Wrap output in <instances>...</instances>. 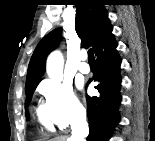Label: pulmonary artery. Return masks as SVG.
<instances>
[{
    "mask_svg": "<svg viewBox=\"0 0 155 141\" xmlns=\"http://www.w3.org/2000/svg\"><path fill=\"white\" fill-rule=\"evenodd\" d=\"M87 58V54L86 52H83L81 55H80V59L83 61L82 63H80V65L78 66V70L83 73V74H87L90 72V67L89 65L85 62Z\"/></svg>",
    "mask_w": 155,
    "mask_h": 141,
    "instance_id": "e3ab8cb5",
    "label": "pulmonary artery"
}]
</instances>
